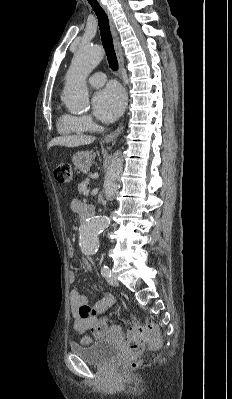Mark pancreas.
I'll return each mask as SVG.
<instances>
[{"label":"pancreas","mask_w":232,"mask_h":399,"mask_svg":"<svg viewBox=\"0 0 232 399\" xmlns=\"http://www.w3.org/2000/svg\"><path fill=\"white\" fill-rule=\"evenodd\" d=\"M88 184H89L88 178H86V180H84V182H81V184H78L79 194H83V192H85V190H87L86 186H88Z\"/></svg>","instance_id":"1"}]
</instances>
